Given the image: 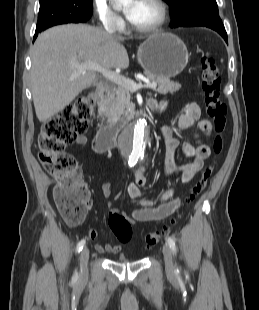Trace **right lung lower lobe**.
I'll return each mask as SVG.
<instances>
[{
    "instance_id": "1",
    "label": "right lung lower lobe",
    "mask_w": 259,
    "mask_h": 310,
    "mask_svg": "<svg viewBox=\"0 0 259 310\" xmlns=\"http://www.w3.org/2000/svg\"><path fill=\"white\" fill-rule=\"evenodd\" d=\"M65 23H70V22H66V21H56V22H53V23L49 24L48 26H46V27H44V28H42V29H40V30H36V33H35V35H34V40H35L36 37L38 36V33H40V32H42V31L46 30L47 28L52 27V26H55V25H59V24H65Z\"/></svg>"
}]
</instances>
